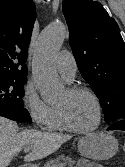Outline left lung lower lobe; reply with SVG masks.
Returning a JSON list of instances; mask_svg holds the SVG:
<instances>
[{"label":"left lung lower lobe","instance_id":"left-lung-lower-lobe-1","mask_svg":"<svg viewBox=\"0 0 125 167\" xmlns=\"http://www.w3.org/2000/svg\"><path fill=\"white\" fill-rule=\"evenodd\" d=\"M107 130H123V131H125V119H121V120L113 122L112 124H110V126L107 128Z\"/></svg>","mask_w":125,"mask_h":167}]
</instances>
